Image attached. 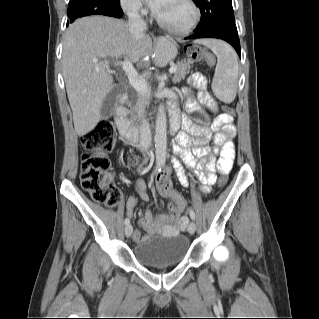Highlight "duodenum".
I'll use <instances>...</instances> for the list:
<instances>
[{
	"label": "duodenum",
	"mask_w": 319,
	"mask_h": 319,
	"mask_svg": "<svg viewBox=\"0 0 319 319\" xmlns=\"http://www.w3.org/2000/svg\"><path fill=\"white\" fill-rule=\"evenodd\" d=\"M115 121L121 137L128 144H141L147 136V131L150 129V126L137 125L131 121L129 111L124 106L123 101H121V105L117 108ZM178 128V120L172 117L170 121L171 134H174Z\"/></svg>",
	"instance_id": "410a0bca"
}]
</instances>
